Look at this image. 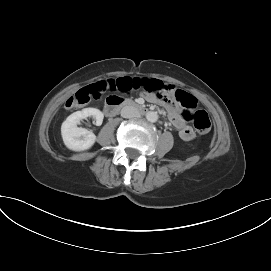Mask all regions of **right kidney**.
<instances>
[{
  "label": "right kidney",
  "instance_id": "1",
  "mask_svg": "<svg viewBox=\"0 0 271 271\" xmlns=\"http://www.w3.org/2000/svg\"><path fill=\"white\" fill-rule=\"evenodd\" d=\"M92 116L97 126L103 122V113L96 108H85L81 111L72 113L62 123L61 135L66 147L73 151H84L91 148L95 141L96 136L91 131L85 128L78 127L82 119Z\"/></svg>",
  "mask_w": 271,
  "mask_h": 271
}]
</instances>
